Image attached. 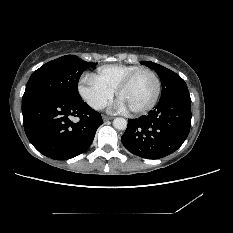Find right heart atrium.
<instances>
[{
  "instance_id": "obj_1",
  "label": "right heart atrium",
  "mask_w": 233,
  "mask_h": 233,
  "mask_svg": "<svg viewBox=\"0 0 233 233\" xmlns=\"http://www.w3.org/2000/svg\"><path fill=\"white\" fill-rule=\"evenodd\" d=\"M78 93L92 109L99 111L113 99L114 93L106 89L90 76L82 78L78 85Z\"/></svg>"
}]
</instances>
